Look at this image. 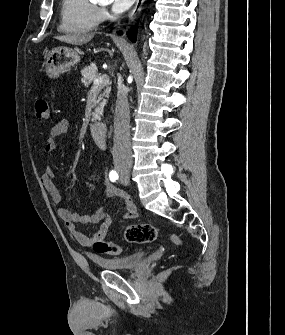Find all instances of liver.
I'll return each instance as SVG.
<instances>
[{
  "mask_svg": "<svg viewBox=\"0 0 285 335\" xmlns=\"http://www.w3.org/2000/svg\"><path fill=\"white\" fill-rule=\"evenodd\" d=\"M56 40L60 42H66V44H74V46H82V44H87L94 34H68V36H55Z\"/></svg>",
  "mask_w": 285,
  "mask_h": 335,
  "instance_id": "obj_1",
  "label": "liver"
}]
</instances>
